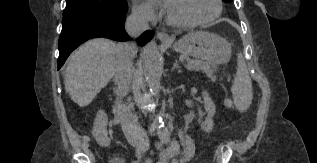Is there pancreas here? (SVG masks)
<instances>
[{
    "label": "pancreas",
    "instance_id": "obj_1",
    "mask_svg": "<svg viewBox=\"0 0 317 163\" xmlns=\"http://www.w3.org/2000/svg\"><path fill=\"white\" fill-rule=\"evenodd\" d=\"M184 60L187 62L188 70L203 71L212 80L216 79V77L213 75L214 71L216 70V66L212 63L201 60H193L188 57H185Z\"/></svg>",
    "mask_w": 317,
    "mask_h": 163
}]
</instances>
